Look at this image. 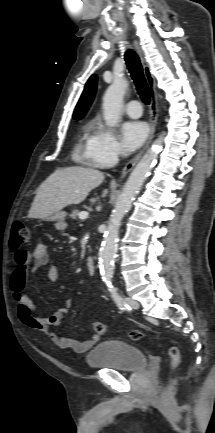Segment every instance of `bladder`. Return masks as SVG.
<instances>
[{
  "label": "bladder",
  "mask_w": 215,
  "mask_h": 433,
  "mask_svg": "<svg viewBox=\"0 0 215 433\" xmlns=\"http://www.w3.org/2000/svg\"><path fill=\"white\" fill-rule=\"evenodd\" d=\"M86 361L92 368L135 372L146 367L147 356L132 344L120 340H106L87 354Z\"/></svg>",
  "instance_id": "31cf9c89"
}]
</instances>
